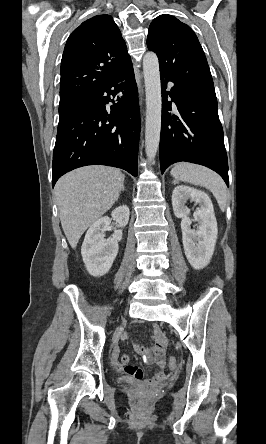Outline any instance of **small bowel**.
Wrapping results in <instances>:
<instances>
[{"label": "small bowel", "instance_id": "obj_1", "mask_svg": "<svg viewBox=\"0 0 266 444\" xmlns=\"http://www.w3.org/2000/svg\"><path fill=\"white\" fill-rule=\"evenodd\" d=\"M125 339V337H123ZM153 345L151 347H144L136 344L135 350L140 354L144 361L148 364H153L157 367L156 373L150 379H143V370L138 366H132L129 364V357L123 355L121 360L116 362V368L130 377V379L137 382H141L145 385L154 386L161 383L165 379V350H166V337L164 333L159 329L157 325L154 326L153 333ZM117 350V346H115Z\"/></svg>", "mask_w": 266, "mask_h": 444}]
</instances>
